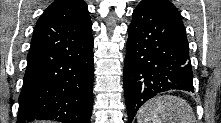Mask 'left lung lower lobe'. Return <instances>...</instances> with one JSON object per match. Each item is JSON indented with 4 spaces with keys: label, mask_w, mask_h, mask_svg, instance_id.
<instances>
[{
    "label": "left lung lower lobe",
    "mask_w": 221,
    "mask_h": 123,
    "mask_svg": "<svg viewBox=\"0 0 221 123\" xmlns=\"http://www.w3.org/2000/svg\"><path fill=\"white\" fill-rule=\"evenodd\" d=\"M132 16L123 74L129 123L148 99L161 92H194L183 23L144 0Z\"/></svg>",
    "instance_id": "obj_1"
}]
</instances>
